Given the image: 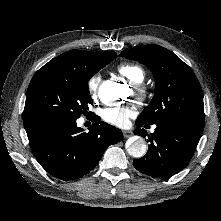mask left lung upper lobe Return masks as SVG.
<instances>
[{"instance_id":"obj_1","label":"left lung upper lobe","mask_w":221,"mask_h":221,"mask_svg":"<svg viewBox=\"0 0 221 221\" xmlns=\"http://www.w3.org/2000/svg\"><path fill=\"white\" fill-rule=\"evenodd\" d=\"M120 56L147 66L155 79L151 103L137 122L142 124L173 123L204 129L203 92L200 83L179 57L158 45H140L126 49Z\"/></svg>"}]
</instances>
